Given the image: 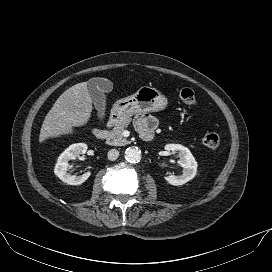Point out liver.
Returning <instances> with one entry per match:
<instances>
[{"mask_svg":"<svg viewBox=\"0 0 272 272\" xmlns=\"http://www.w3.org/2000/svg\"><path fill=\"white\" fill-rule=\"evenodd\" d=\"M87 82L77 83L64 91L47 113L39 135V142L49 138L73 134L75 127L84 126L92 112Z\"/></svg>","mask_w":272,"mask_h":272,"instance_id":"liver-1","label":"liver"}]
</instances>
